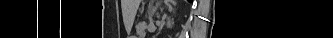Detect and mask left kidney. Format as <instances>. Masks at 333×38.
Here are the masks:
<instances>
[{
	"instance_id": "obj_1",
	"label": "left kidney",
	"mask_w": 333,
	"mask_h": 38,
	"mask_svg": "<svg viewBox=\"0 0 333 38\" xmlns=\"http://www.w3.org/2000/svg\"><path fill=\"white\" fill-rule=\"evenodd\" d=\"M171 24H172V23H171V21H170V20H168V26H171Z\"/></svg>"
}]
</instances>
